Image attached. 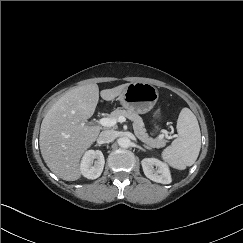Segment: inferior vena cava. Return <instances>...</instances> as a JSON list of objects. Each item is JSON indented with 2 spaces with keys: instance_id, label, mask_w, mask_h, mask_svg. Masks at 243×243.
<instances>
[{
  "instance_id": "602c4592",
  "label": "inferior vena cava",
  "mask_w": 243,
  "mask_h": 243,
  "mask_svg": "<svg viewBox=\"0 0 243 243\" xmlns=\"http://www.w3.org/2000/svg\"><path fill=\"white\" fill-rule=\"evenodd\" d=\"M115 138H116V133L113 130H104L99 135V139L103 143H110Z\"/></svg>"
}]
</instances>
